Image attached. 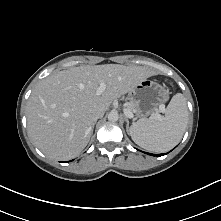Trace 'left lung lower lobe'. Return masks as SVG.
<instances>
[{"instance_id": "obj_1", "label": "left lung lower lobe", "mask_w": 221, "mask_h": 221, "mask_svg": "<svg viewBox=\"0 0 221 221\" xmlns=\"http://www.w3.org/2000/svg\"><path fill=\"white\" fill-rule=\"evenodd\" d=\"M149 155H152V156H163L164 154H158V155H155V154H151V153H147Z\"/></svg>"}]
</instances>
